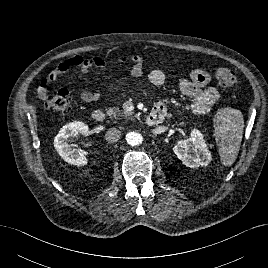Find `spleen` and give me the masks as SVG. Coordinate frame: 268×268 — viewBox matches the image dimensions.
<instances>
[{
    "label": "spleen",
    "instance_id": "1",
    "mask_svg": "<svg viewBox=\"0 0 268 268\" xmlns=\"http://www.w3.org/2000/svg\"><path fill=\"white\" fill-rule=\"evenodd\" d=\"M244 129L243 115L234 108L219 109L214 124L215 140L224 166H231L238 155Z\"/></svg>",
    "mask_w": 268,
    "mask_h": 268
}]
</instances>
